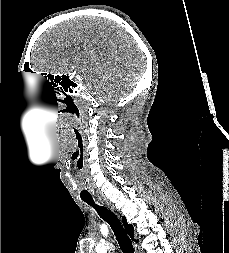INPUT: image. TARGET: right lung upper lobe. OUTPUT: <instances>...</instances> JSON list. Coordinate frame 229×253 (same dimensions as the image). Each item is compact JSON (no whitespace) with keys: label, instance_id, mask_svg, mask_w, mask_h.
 Instances as JSON below:
<instances>
[{"label":"right lung upper lobe","instance_id":"obj_1","mask_svg":"<svg viewBox=\"0 0 229 253\" xmlns=\"http://www.w3.org/2000/svg\"><path fill=\"white\" fill-rule=\"evenodd\" d=\"M122 219H123V225H124V227H125V229H126L128 235H129V236L131 237V239L134 241L133 226L130 225V224H128V223L126 222L125 217H122ZM136 242H137V241H136Z\"/></svg>","mask_w":229,"mask_h":253}]
</instances>
